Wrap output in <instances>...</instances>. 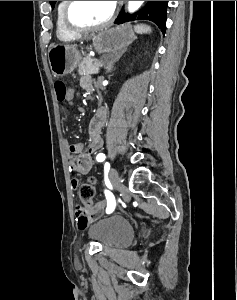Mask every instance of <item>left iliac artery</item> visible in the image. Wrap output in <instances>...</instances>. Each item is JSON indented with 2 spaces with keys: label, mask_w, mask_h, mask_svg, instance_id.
Returning <instances> with one entry per match:
<instances>
[{
  "label": "left iliac artery",
  "mask_w": 237,
  "mask_h": 300,
  "mask_svg": "<svg viewBox=\"0 0 237 300\" xmlns=\"http://www.w3.org/2000/svg\"><path fill=\"white\" fill-rule=\"evenodd\" d=\"M105 158H106L105 154L100 153V154L97 155L96 160L98 162H102V161L105 160ZM104 169H105V172H109L110 164L108 162L105 163ZM105 196H106V199H107L106 212L109 214V213L114 211L116 202H115V198H114V196L111 192L105 190Z\"/></svg>",
  "instance_id": "1"
}]
</instances>
